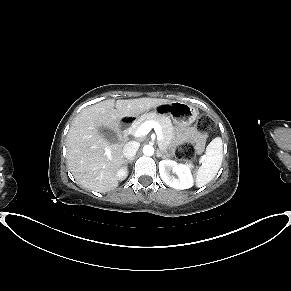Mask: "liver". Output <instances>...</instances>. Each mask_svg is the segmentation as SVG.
I'll return each instance as SVG.
<instances>
[{"mask_svg":"<svg viewBox=\"0 0 291 291\" xmlns=\"http://www.w3.org/2000/svg\"><path fill=\"white\" fill-rule=\"evenodd\" d=\"M171 101L158 98L109 99L84 109L72 122L66 139L67 165L84 188L108 192L118 186L124 165L122 144L103 138L101 127L117 132L123 118L135 117ZM116 106V109H114Z\"/></svg>","mask_w":291,"mask_h":291,"instance_id":"6515ba94","label":"liver"}]
</instances>
